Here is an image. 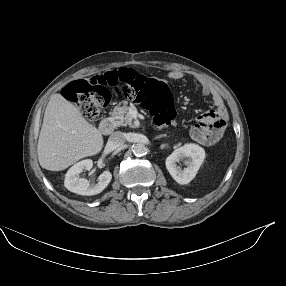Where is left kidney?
<instances>
[{"mask_svg": "<svg viewBox=\"0 0 286 286\" xmlns=\"http://www.w3.org/2000/svg\"><path fill=\"white\" fill-rule=\"evenodd\" d=\"M186 167L182 169L177 163L184 159ZM205 158V151L197 144H185L177 148L166 159V168L179 184H188L197 174Z\"/></svg>", "mask_w": 286, "mask_h": 286, "instance_id": "obj_1", "label": "left kidney"}]
</instances>
